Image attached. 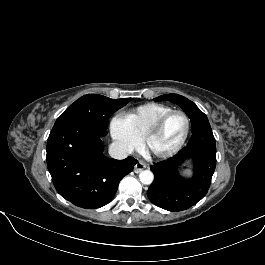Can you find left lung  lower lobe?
Instances as JSON below:
<instances>
[{
    "label": "left lung lower lobe",
    "mask_w": 265,
    "mask_h": 265,
    "mask_svg": "<svg viewBox=\"0 0 265 265\" xmlns=\"http://www.w3.org/2000/svg\"><path fill=\"white\" fill-rule=\"evenodd\" d=\"M193 160L194 174L185 179L179 173L180 166ZM216 167L215 138L210 125L192 131L185 148L175 156L150 166L154 181L147 191L148 198L156 206L169 211H182L200 201L208 192Z\"/></svg>",
    "instance_id": "1"
}]
</instances>
